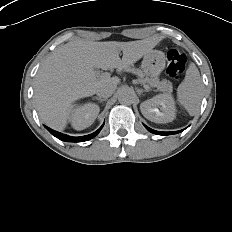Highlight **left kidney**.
<instances>
[{"label": "left kidney", "instance_id": "left-kidney-1", "mask_svg": "<svg viewBox=\"0 0 232 232\" xmlns=\"http://www.w3.org/2000/svg\"><path fill=\"white\" fill-rule=\"evenodd\" d=\"M160 107V110L157 108ZM143 116L154 123H168L176 115L175 101L170 94L164 93L144 101L140 105Z\"/></svg>", "mask_w": 232, "mask_h": 232}]
</instances>
